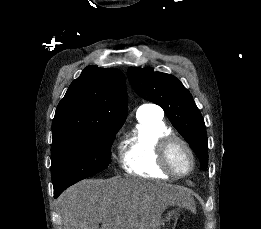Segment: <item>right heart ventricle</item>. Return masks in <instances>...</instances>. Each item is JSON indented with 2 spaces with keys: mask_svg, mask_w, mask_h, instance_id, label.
I'll list each match as a JSON object with an SVG mask.
<instances>
[{
  "mask_svg": "<svg viewBox=\"0 0 261 229\" xmlns=\"http://www.w3.org/2000/svg\"><path fill=\"white\" fill-rule=\"evenodd\" d=\"M156 106V105H154ZM138 127L120 148L122 167L132 175L169 174L159 160V145L163 138L173 135L163 118L160 107H139Z\"/></svg>",
  "mask_w": 261,
  "mask_h": 229,
  "instance_id": "obj_1",
  "label": "right heart ventricle"
}]
</instances>
